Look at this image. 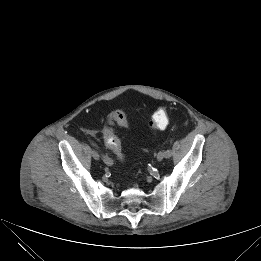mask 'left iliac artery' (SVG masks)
<instances>
[{
	"label": "left iliac artery",
	"mask_w": 261,
	"mask_h": 261,
	"mask_svg": "<svg viewBox=\"0 0 261 261\" xmlns=\"http://www.w3.org/2000/svg\"><path fill=\"white\" fill-rule=\"evenodd\" d=\"M164 156H165V158H170L172 156V150L170 148H167L164 151Z\"/></svg>",
	"instance_id": "left-iliac-artery-1"
}]
</instances>
